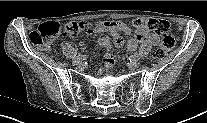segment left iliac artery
Here are the masks:
<instances>
[{"mask_svg":"<svg viewBox=\"0 0 207 123\" xmlns=\"http://www.w3.org/2000/svg\"><path fill=\"white\" fill-rule=\"evenodd\" d=\"M139 59H140V57H139V55L137 53L133 54L129 58L130 61H135V62H137Z\"/></svg>","mask_w":207,"mask_h":123,"instance_id":"obj_1","label":"left iliac artery"}]
</instances>
